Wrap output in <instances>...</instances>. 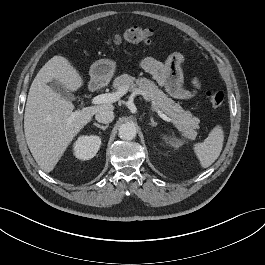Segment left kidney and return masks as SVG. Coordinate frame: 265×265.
Masks as SVG:
<instances>
[{"label":"left kidney","instance_id":"5707ae66","mask_svg":"<svg viewBox=\"0 0 265 265\" xmlns=\"http://www.w3.org/2000/svg\"><path fill=\"white\" fill-rule=\"evenodd\" d=\"M167 143H169L174 148H179V146L181 145V142L180 141L173 140V139L172 140H169V142H167Z\"/></svg>","mask_w":265,"mask_h":265}]
</instances>
